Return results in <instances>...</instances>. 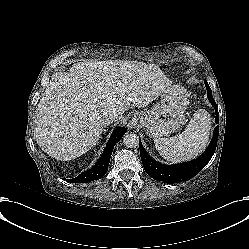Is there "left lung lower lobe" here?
<instances>
[{
  "label": "left lung lower lobe",
  "instance_id": "0a47b994",
  "mask_svg": "<svg viewBox=\"0 0 249 249\" xmlns=\"http://www.w3.org/2000/svg\"><path fill=\"white\" fill-rule=\"evenodd\" d=\"M205 86L208 92V99L216 110V123L219 124L218 106L213 99L212 92L207 81H205ZM218 134L219 125L215 127L213 138L207 150L200 157L195 160L176 165H164L154 161L145 151L141 142H139L140 155L144 169L153 179L163 181L165 183H180L181 181L189 180L197 175L212 158L216 149Z\"/></svg>",
  "mask_w": 249,
  "mask_h": 249
}]
</instances>
